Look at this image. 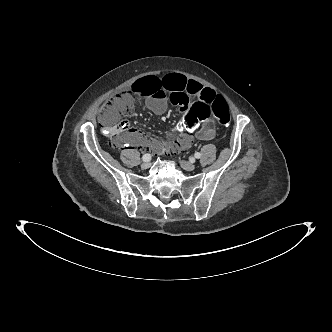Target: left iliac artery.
<instances>
[{
  "label": "left iliac artery",
  "instance_id": "1",
  "mask_svg": "<svg viewBox=\"0 0 332 332\" xmlns=\"http://www.w3.org/2000/svg\"><path fill=\"white\" fill-rule=\"evenodd\" d=\"M194 157H195L196 159H199V158H201V154L197 152V153L194 154Z\"/></svg>",
  "mask_w": 332,
  "mask_h": 332
}]
</instances>
